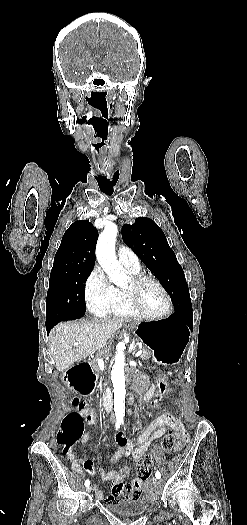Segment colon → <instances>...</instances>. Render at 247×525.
I'll list each match as a JSON object with an SVG mask.
<instances>
[{"instance_id": "1", "label": "colon", "mask_w": 247, "mask_h": 525, "mask_svg": "<svg viewBox=\"0 0 247 525\" xmlns=\"http://www.w3.org/2000/svg\"><path fill=\"white\" fill-rule=\"evenodd\" d=\"M171 376L169 371H166L164 375L159 374L155 378L153 386L157 388L156 394L154 395V402L151 405H146L145 412L148 415L153 414L154 411L158 410L159 406L162 405L166 393L169 390L168 378ZM151 386V383H148ZM74 404L77 411L69 414L62 425L61 431L57 435V442L63 447L64 454H70L73 445L78 442L85 431V426L91 427L97 424V421L90 418V411L88 404L80 400L79 398L74 399ZM176 442V436L173 431H169L160 441L158 450L147 454L137 466V481L144 482L152 471L156 462L162 460V454L164 452L172 450Z\"/></svg>"}]
</instances>
